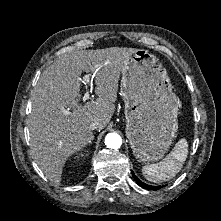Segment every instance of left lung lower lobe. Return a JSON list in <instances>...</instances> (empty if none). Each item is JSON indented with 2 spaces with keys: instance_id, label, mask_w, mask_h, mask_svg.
I'll list each match as a JSON object with an SVG mask.
<instances>
[{
  "instance_id": "obj_1",
  "label": "left lung lower lobe",
  "mask_w": 221,
  "mask_h": 221,
  "mask_svg": "<svg viewBox=\"0 0 221 221\" xmlns=\"http://www.w3.org/2000/svg\"><path fill=\"white\" fill-rule=\"evenodd\" d=\"M132 175H133V178H134V180L136 181V183L140 186V187H142V188H144V189H148V190H158L159 188H161L162 186H151V185H148V184H145V183H143L142 181H140L139 179H138V177L132 172Z\"/></svg>"
}]
</instances>
